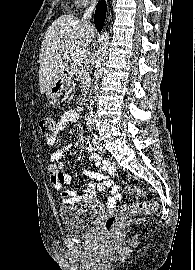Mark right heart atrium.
<instances>
[{"mask_svg":"<svg viewBox=\"0 0 195 270\" xmlns=\"http://www.w3.org/2000/svg\"><path fill=\"white\" fill-rule=\"evenodd\" d=\"M77 1L80 2V3H85V2H87L89 0H77Z\"/></svg>","mask_w":195,"mask_h":270,"instance_id":"right-heart-atrium-1","label":"right heart atrium"}]
</instances>
